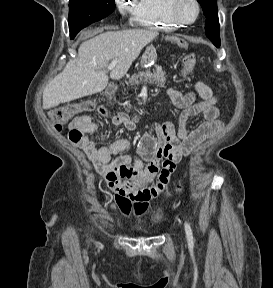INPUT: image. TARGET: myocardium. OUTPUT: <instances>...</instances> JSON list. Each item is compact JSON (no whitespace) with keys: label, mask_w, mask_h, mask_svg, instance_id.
<instances>
[{"label":"myocardium","mask_w":273,"mask_h":288,"mask_svg":"<svg viewBox=\"0 0 273 288\" xmlns=\"http://www.w3.org/2000/svg\"><path fill=\"white\" fill-rule=\"evenodd\" d=\"M167 1H168L167 2L168 15L176 23H178L180 25H190V24H193L194 22H196V20L198 19L199 15H200V11H201L200 3L198 0H191L192 3L194 4L195 8H196V15L190 21L183 19L181 17V15L179 14L178 8H179V4L182 0H167Z\"/></svg>","instance_id":"obj_1"}]
</instances>
